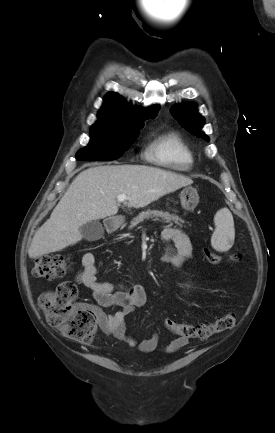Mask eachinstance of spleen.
<instances>
[{"label": "spleen", "instance_id": "1", "mask_svg": "<svg viewBox=\"0 0 275 433\" xmlns=\"http://www.w3.org/2000/svg\"><path fill=\"white\" fill-rule=\"evenodd\" d=\"M214 224L211 245L216 251L226 252L232 247L235 239L234 220L228 208H222L215 214Z\"/></svg>", "mask_w": 275, "mask_h": 433}]
</instances>
